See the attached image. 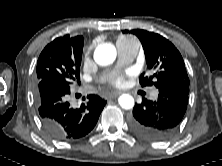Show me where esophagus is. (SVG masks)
Returning a JSON list of instances; mask_svg holds the SVG:
<instances>
[{"instance_id":"obj_1","label":"esophagus","mask_w":222,"mask_h":166,"mask_svg":"<svg viewBox=\"0 0 222 166\" xmlns=\"http://www.w3.org/2000/svg\"><path fill=\"white\" fill-rule=\"evenodd\" d=\"M122 92L121 91H114L108 94L109 98H115L117 96H119Z\"/></svg>"}]
</instances>
